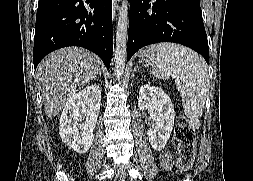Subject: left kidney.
I'll use <instances>...</instances> for the list:
<instances>
[{
  "label": "left kidney",
  "instance_id": "left-kidney-1",
  "mask_svg": "<svg viewBox=\"0 0 253 181\" xmlns=\"http://www.w3.org/2000/svg\"><path fill=\"white\" fill-rule=\"evenodd\" d=\"M138 107L150 111L153 124L148 129L147 136L152 148L158 151L164 149L175 119L170 97L161 88L146 84L140 88Z\"/></svg>",
  "mask_w": 253,
  "mask_h": 181
}]
</instances>
